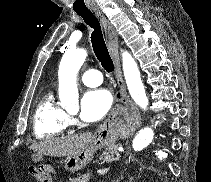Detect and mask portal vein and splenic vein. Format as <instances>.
<instances>
[{"label": "portal vein and splenic vein", "mask_w": 211, "mask_h": 182, "mask_svg": "<svg viewBox=\"0 0 211 182\" xmlns=\"http://www.w3.org/2000/svg\"><path fill=\"white\" fill-rule=\"evenodd\" d=\"M121 151V149H119ZM109 171V168L99 169L97 170L98 173L105 174Z\"/></svg>", "instance_id": "18ae733b"}]
</instances>
